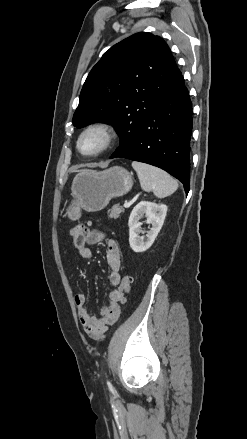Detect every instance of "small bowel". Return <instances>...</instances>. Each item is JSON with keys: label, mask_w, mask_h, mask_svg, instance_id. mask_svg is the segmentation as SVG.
<instances>
[{"label": "small bowel", "mask_w": 247, "mask_h": 439, "mask_svg": "<svg viewBox=\"0 0 247 439\" xmlns=\"http://www.w3.org/2000/svg\"><path fill=\"white\" fill-rule=\"evenodd\" d=\"M106 240V261L109 268V281L113 285L121 283V255L117 242L107 238L99 229H89L85 235V246L78 250L82 259H90L92 250L88 247ZM124 293L120 289H114L109 293V302L102 309L100 315H91L86 306V297L83 293L75 295L74 301L78 317L85 333L93 340L104 338L108 327L114 324L120 315V303Z\"/></svg>", "instance_id": "c3829d8e"}]
</instances>
